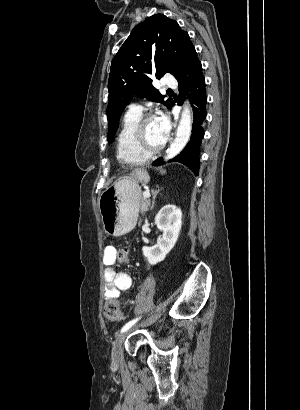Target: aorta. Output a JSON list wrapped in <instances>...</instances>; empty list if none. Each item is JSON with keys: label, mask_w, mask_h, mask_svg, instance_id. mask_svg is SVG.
<instances>
[{"label": "aorta", "mask_w": 300, "mask_h": 410, "mask_svg": "<svg viewBox=\"0 0 300 410\" xmlns=\"http://www.w3.org/2000/svg\"><path fill=\"white\" fill-rule=\"evenodd\" d=\"M192 129V111L189 104L184 105L181 119L176 131V137L166 151L165 160L177 156L188 143Z\"/></svg>", "instance_id": "1"}]
</instances>
